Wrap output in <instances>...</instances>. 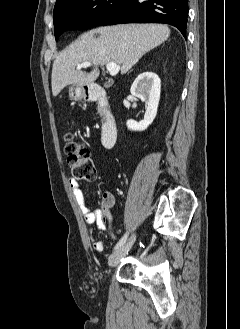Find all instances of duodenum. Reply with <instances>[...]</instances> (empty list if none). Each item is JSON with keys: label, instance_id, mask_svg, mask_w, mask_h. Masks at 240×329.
I'll use <instances>...</instances> for the list:
<instances>
[{"label": "duodenum", "instance_id": "410a0bca", "mask_svg": "<svg viewBox=\"0 0 240 329\" xmlns=\"http://www.w3.org/2000/svg\"><path fill=\"white\" fill-rule=\"evenodd\" d=\"M85 99L98 103L102 113V143L105 148H112L118 135L115 119L107 108V98L104 89L98 84H91L85 88Z\"/></svg>", "mask_w": 240, "mask_h": 329}]
</instances>
